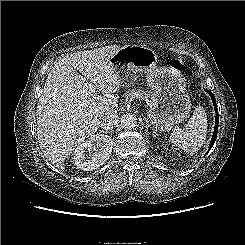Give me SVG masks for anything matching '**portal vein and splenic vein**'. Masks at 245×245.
<instances>
[{
    "mask_svg": "<svg viewBox=\"0 0 245 245\" xmlns=\"http://www.w3.org/2000/svg\"><path fill=\"white\" fill-rule=\"evenodd\" d=\"M87 84H88V86L90 88V91L93 92V93H95L96 92L95 86L93 84H91V83H87Z\"/></svg>",
    "mask_w": 245,
    "mask_h": 245,
    "instance_id": "portal-vein-and-splenic-vein-1",
    "label": "portal vein and splenic vein"
}]
</instances>
